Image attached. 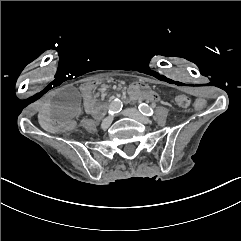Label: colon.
Here are the masks:
<instances>
[{
    "label": "colon",
    "mask_w": 241,
    "mask_h": 241,
    "mask_svg": "<svg viewBox=\"0 0 241 241\" xmlns=\"http://www.w3.org/2000/svg\"><path fill=\"white\" fill-rule=\"evenodd\" d=\"M178 102L180 104H185L187 102V97L185 95H180L178 97ZM190 104V99L188 100V103L185 106H182L181 108H186ZM191 109L193 111H207L209 109V102L207 100H203L202 98L194 99L191 102ZM86 112L84 109H79L76 113L78 118H83L85 116Z\"/></svg>",
    "instance_id": "colon-1"
}]
</instances>
